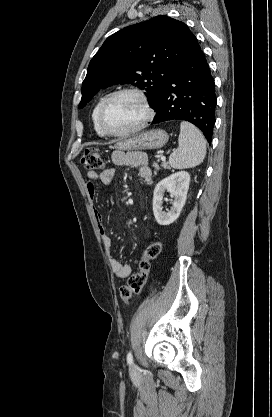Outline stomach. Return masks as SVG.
I'll return each mask as SVG.
<instances>
[{
    "label": "stomach",
    "mask_w": 272,
    "mask_h": 417,
    "mask_svg": "<svg viewBox=\"0 0 272 417\" xmlns=\"http://www.w3.org/2000/svg\"><path fill=\"white\" fill-rule=\"evenodd\" d=\"M169 136L162 129H152L121 141L115 148L121 150H151L160 149L168 142Z\"/></svg>",
    "instance_id": "0dacf381"
}]
</instances>
